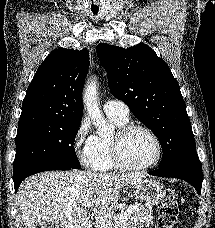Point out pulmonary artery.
<instances>
[{"instance_id": "obj_1", "label": "pulmonary artery", "mask_w": 215, "mask_h": 228, "mask_svg": "<svg viewBox=\"0 0 215 228\" xmlns=\"http://www.w3.org/2000/svg\"><path fill=\"white\" fill-rule=\"evenodd\" d=\"M104 111L107 114H115L122 118H129V108L123 101L108 100L104 104Z\"/></svg>"}]
</instances>
